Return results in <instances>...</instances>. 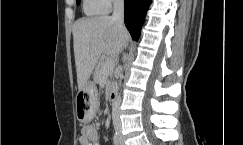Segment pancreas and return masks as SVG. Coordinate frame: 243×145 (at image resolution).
Returning a JSON list of instances; mask_svg holds the SVG:
<instances>
[{"mask_svg": "<svg viewBox=\"0 0 243 145\" xmlns=\"http://www.w3.org/2000/svg\"><path fill=\"white\" fill-rule=\"evenodd\" d=\"M105 63L106 60L100 61L95 69L94 79L98 83L105 80L107 77L111 78L113 75L114 66L111 69L104 71Z\"/></svg>", "mask_w": 243, "mask_h": 145, "instance_id": "obj_1", "label": "pancreas"}]
</instances>
